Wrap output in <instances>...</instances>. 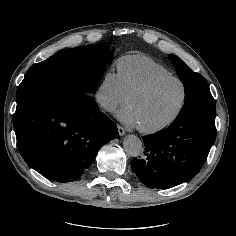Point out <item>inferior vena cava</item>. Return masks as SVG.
Instances as JSON below:
<instances>
[{"label":"inferior vena cava","mask_w":236,"mask_h":236,"mask_svg":"<svg viewBox=\"0 0 236 236\" xmlns=\"http://www.w3.org/2000/svg\"><path fill=\"white\" fill-rule=\"evenodd\" d=\"M97 100L101 105H104L106 103V96H102L100 93L97 94Z\"/></svg>","instance_id":"inferior-vena-cava-1"}]
</instances>
